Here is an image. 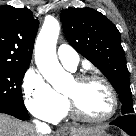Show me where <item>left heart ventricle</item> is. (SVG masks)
I'll return each mask as SVG.
<instances>
[{
    "instance_id": "b2bd125f",
    "label": "left heart ventricle",
    "mask_w": 136,
    "mask_h": 136,
    "mask_svg": "<svg viewBox=\"0 0 136 136\" xmlns=\"http://www.w3.org/2000/svg\"><path fill=\"white\" fill-rule=\"evenodd\" d=\"M65 94L72 97L79 109L89 117H103L109 113L112 107L111 95L107 87L99 81L78 84L74 80Z\"/></svg>"
}]
</instances>
